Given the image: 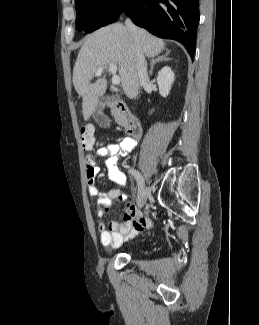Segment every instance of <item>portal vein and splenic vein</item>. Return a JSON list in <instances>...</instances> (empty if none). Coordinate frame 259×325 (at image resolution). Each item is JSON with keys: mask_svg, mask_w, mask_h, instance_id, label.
<instances>
[{"mask_svg": "<svg viewBox=\"0 0 259 325\" xmlns=\"http://www.w3.org/2000/svg\"><path fill=\"white\" fill-rule=\"evenodd\" d=\"M109 70L112 73V84L118 85L120 84V77L116 74L117 72V65L114 63H109ZM104 71V67H100L95 71V76H101L102 72Z\"/></svg>", "mask_w": 259, "mask_h": 325, "instance_id": "1", "label": "portal vein and splenic vein"}]
</instances>
